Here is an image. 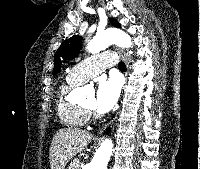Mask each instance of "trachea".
<instances>
[{
  "label": "trachea",
  "instance_id": "3493384b",
  "mask_svg": "<svg viewBox=\"0 0 200 169\" xmlns=\"http://www.w3.org/2000/svg\"><path fill=\"white\" fill-rule=\"evenodd\" d=\"M118 68H119L121 71H126V65H125V63L119 62Z\"/></svg>",
  "mask_w": 200,
  "mask_h": 169
}]
</instances>
